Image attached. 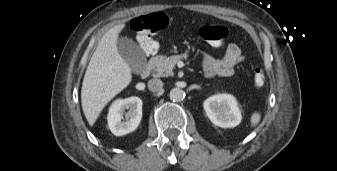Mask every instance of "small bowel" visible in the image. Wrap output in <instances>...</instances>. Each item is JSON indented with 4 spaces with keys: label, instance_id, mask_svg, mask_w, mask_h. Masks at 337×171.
<instances>
[{
    "label": "small bowel",
    "instance_id": "c3829d8e",
    "mask_svg": "<svg viewBox=\"0 0 337 171\" xmlns=\"http://www.w3.org/2000/svg\"><path fill=\"white\" fill-rule=\"evenodd\" d=\"M244 60L241 49L236 44L228 45L224 56L215 59L209 54H203L202 64L207 76L229 77L234 74L235 67Z\"/></svg>",
    "mask_w": 337,
    "mask_h": 171
}]
</instances>
